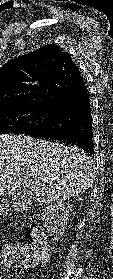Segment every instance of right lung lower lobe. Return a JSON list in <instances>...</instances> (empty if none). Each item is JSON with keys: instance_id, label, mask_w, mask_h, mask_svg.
Instances as JSON below:
<instances>
[{"instance_id": "1", "label": "right lung lower lobe", "mask_w": 113, "mask_h": 279, "mask_svg": "<svg viewBox=\"0 0 113 279\" xmlns=\"http://www.w3.org/2000/svg\"><path fill=\"white\" fill-rule=\"evenodd\" d=\"M25 134L74 145L94 155L91 109L86 86L73 103L62 108L55 121Z\"/></svg>"}]
</instances>
